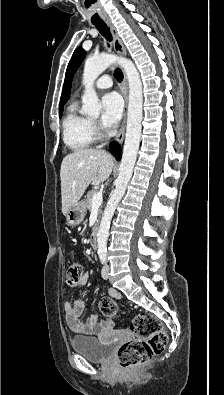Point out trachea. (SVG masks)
<instances>
[{
  "instance_id": "1",
  "label": "trachea",
  "mask_w": 224,
  "mask_h": 395,
  "mask_svg": "<svg viewBox=\"0 0 224 395\" xmlns=\"http://www.w3.org/2000/svg\"><path fill=\"white\" fill-rule=\"evenodd\" d=\"M100 34L105 37L108 42L112 41V35L110 33V29L104 21H98L93 23ZM114 76L118 82L123 80V73L121 69L117 68L114 72Z\"/></svg>"
}]
</instances>
